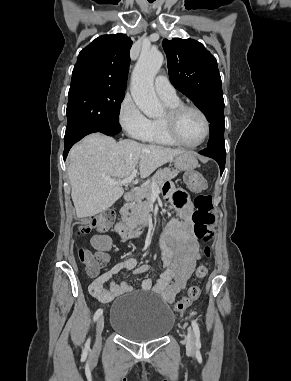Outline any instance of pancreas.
<instances>
[{
    "label": "pancreas",
    "mask_w": 291,
    "mask_h": 381,
    "mask_svg": "<svg viewBox=\"0 0 291 381\" xmlns=\"http://www.w3.org/2000/svg\"><path fill=\"white\" fill-rule=\"evenodd\" d=\"M178 173L177 170H171L169 168L159 169L147 185L137 190L134 201L129 203L121 213L122 220L128 228L136 229L147 222L149 216V201L152 193L151 185L156 184L159 187L165 181H170L176 177Z\"/></svg>",
    "instance_id": "obj_1"
}]
</instances>
